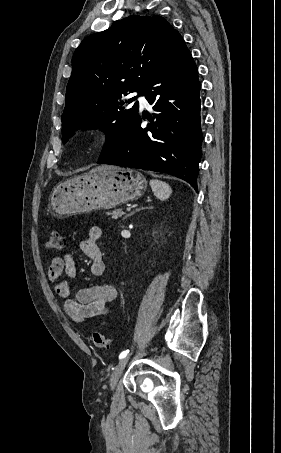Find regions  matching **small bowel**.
<instances>
[{"label":"small bowel","instance_id":"small-bowel-1","mask_svg":"<svg viewBox=\"0 0 281 453\" xmlns=\"http://www.w3.org/2000/svg\"><path fill=\"white\" fill-rule=\"evenodd\" d=\"M102 236V228L93 226L89 229L87 237L81 240L80 250L90 258L89 274L101 277L105 274L103 253L98 245ZM65 272L67 277L72 278L77 274L76 262L72 255L54 256L47 271V279L54 284L56 292L61 297H67L70 293L68 282L62 278ZM118 298L117 291L108 285H99L79 289L75 297L66 299L63 303V311L75 323L85 324L89 319L102 316L108 306Z\"/></svg>","mask_w":281,"mask_h":453}]
</instances>
